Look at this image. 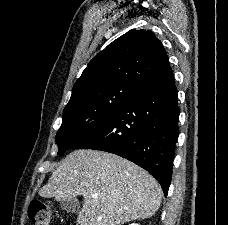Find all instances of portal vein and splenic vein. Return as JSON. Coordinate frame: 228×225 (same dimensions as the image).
<instances>
[{
    "mask_svg": "<svg viewBox=\"0 0 228 225\" xmlns=\"http://www.w3.org/2000/svg\"><path fill=\"white\" fill-rule=\"evenodd\" d=\"M93 199H97L98 195H92Z\"/></svg>",
    "mask_w": 228,
    "mask_h": 225,
    "instance_id": "obj_1",
    "label": "portal vein and splenic vein"
}]
</instances>
